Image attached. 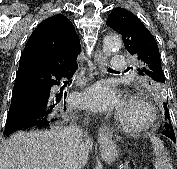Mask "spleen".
<instances>
[{"mask_svg":"<svg viewBox=\"0 0 177 169\" xmlns=\"http://www.w3.org/2000/svg\"><path fill=\"white\" fill-rule=\"evenodd\" d=\"M150 141L154 149L155 169H173L170 163V157L165 151L163 142L156 136H151Z\"/></svg>","mask_w":177,"mask_h":169,"instance_id":"spleen-1","label":"spleen"}]
</instances>
